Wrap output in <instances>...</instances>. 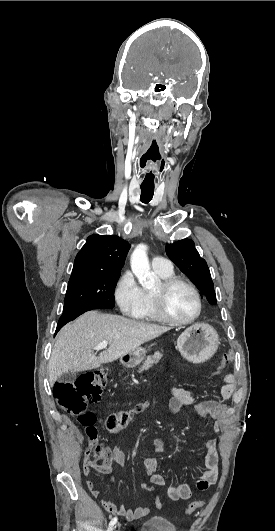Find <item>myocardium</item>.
Segmentation results:
<instances>
[{"instance_id":"1","label":"myocardium","mask_w":275,"mask_h":531,"mask_svg":"<svg viewBox=\"0 0 275 531\" xmlns=\"http://www.w3.org/2000/svg\"><path fill=\"white\" fill-rule=\"evenodd\" d=\"M176 284H182L186 286L192 292L196 300L195 313L191 317L184 319V320H179V319L172 317L168 313L166 306H165L166 294L168 290ZM151 294L153 297L156 313L158 314L160 319H162L163 321L167 323L178 325V326L188 325L194 322L195 320H197L202 313L201 296L197 288L185 278H182L179 276H169V277L163 278L160 282V289L157 291H152Z\"/></svg>"}]
</instances>
